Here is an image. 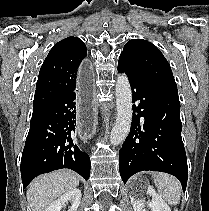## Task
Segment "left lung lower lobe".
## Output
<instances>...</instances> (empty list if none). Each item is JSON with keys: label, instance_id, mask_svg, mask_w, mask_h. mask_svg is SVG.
<instances>
[{"label": "left lung lower lobe", "instance_id": "1", "mask_svg": "<svg viewBox=\"0 0 209 211\" xmlns=\"http://www.w3.org/2000/svg\"><path fill=\"white\" fill-rule=\"evenodd\" d=\"M118 71L127 74L134 103L131 130L119 152L123 182L140 171H161L176 176L185 191L188 166L178 93L151 83L124 60H119Z\"/></svg>", "mask_w": 209, "mask_h": 211}]
</instances>
